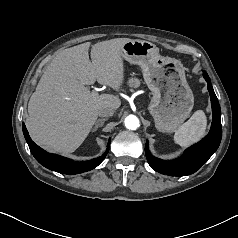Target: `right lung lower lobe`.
I'll use <instances>...</instances> for the list:
<instances>
[{
    "instance_id": "obj_1",
    "label": "right lung lower lobe",
    "mask_w": 238,
    "mask_h": 238,
    "mask_svg": "<svg viewBox=\"0 0 238 238\" xmlns=\"http://www.w3.org/2000/svg\"><path fill=\"white\" fill-rule=\"evenodd\" d=\"M23 133L28 143V146L30 148V151L35 157V159L44 167L59 173H64V174H78V173H82V172H86L91 169H94L103 161V159L105 158L109 150L107 148L106 153L96 159H92V160H88L84 162H74L73 160L62 157V156L47 153L45 150H43L38 145H36L31 140L24 123H23ZM109 145H110V140L107 147H109Z\"/></svg>"
}]
</instances>
